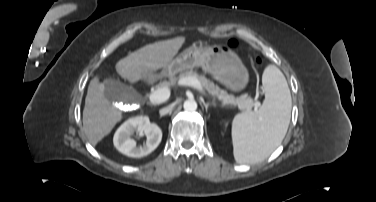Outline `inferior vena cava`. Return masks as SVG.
Here are the masks:
<instances>
[{
  "instance_id": "602c4592",
  "label": "inferior vena cava",
  "mask_w": 376,
  "mask_h": 202,
  "mask_svg": "<svg viewBox=\"0 0 376 202\" xmlns=\"http://www.w3.org/2000/svg\"><path fill=\"white\" fill-rule=\"evenodd\" d=\"M172 108H173L172 105H169V106H167V107H164V108L160 109L159 114H160L161 116H164V115L168 114L169 112H171Z\"/></svg>"
}]
</instances>
